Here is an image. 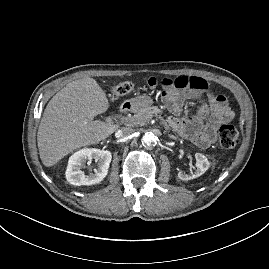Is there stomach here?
<instances>
[{"instance_id": "1", "label": "stomach", "mask_w": 269, "mask_h": 269, "mask_svg": "<svg viewBox=\"0 0 269 269\" xmlns=\"http://www.w3.org/2000/svg\"><path fill=\"white\" fill-rule=\"evenodd\" d=\"M132 102L137 104L140 107H147L153 103L152 99L148 96H142L138 99L132 100Z\"/></svg>"}]
</instances>
